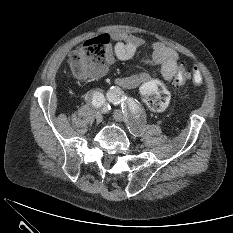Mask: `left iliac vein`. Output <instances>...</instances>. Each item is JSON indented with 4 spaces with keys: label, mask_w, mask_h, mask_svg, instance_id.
<instances>
[{
    "label": "left iliac vein",
    "mask_w": 233,
    "mask_h": 233,
    "mask_svg": "<svg viewBox=\"0 0 233 233\" xmlns=\"http://www.w3.org/2000/svg\"><path fill=\"white\" fill-rule=\"evenodd\" d=\"M113 117L117 122L125 123L132 135L136 137L141 135V129L139 125L130 119L127 115H124L120 110H115L113 112Z\"/></svg>",
    "instance_id": "obj_1"
}]
</instances>
